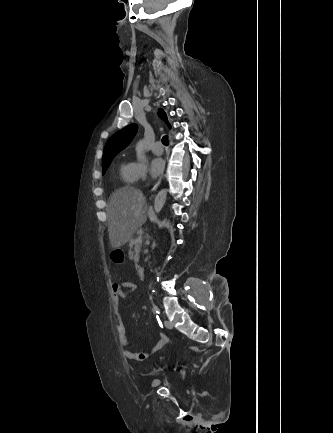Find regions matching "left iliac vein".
I'll return each instance as SVG.
<instances>
[{"mask_svg":"<svg viewBox=\"0 0 333 433\" xmlns=\"http://www.w3.org/2000/svg\"><path fill=\"white\" fill-rule=\"evenodd\" d=\"M166 326H167V328H169V329H172V328H173V324H172L170 321L166 322Z\"/></svg>","mask_w":333,"mask_h":433,"instance_id":"obj_1","label":"left iliac vein"}]
</instances>
